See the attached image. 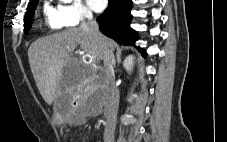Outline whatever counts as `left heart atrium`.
<instances>
[{
	"mask_svg": "<svg viewBox=\"0 0 227 142\" xmlns=\"http://www.w3.org/2000/svg\"><path fill=\"white\" fill-rule=\"evenodd\" d=\"M87 4L96 12L103 11L107 4L108 0H86Z\"/></svg>",
	"mask_w": 227,
	"mask_h": 142,
	"instance_id": "39dd6f15",
	"label": "left heart atrium"
}]
</instances>
